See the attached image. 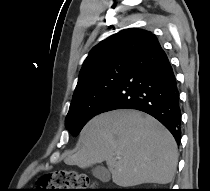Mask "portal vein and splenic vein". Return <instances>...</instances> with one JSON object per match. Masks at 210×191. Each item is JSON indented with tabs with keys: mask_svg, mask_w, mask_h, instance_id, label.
<instances>
[{
	"mask_svg": "<svg viewBox=\"0 0 210 191\" xmlns=\"http://www.w3.org/2000/svg\"><path fill=\"white\" fill-rule=\"evenodd\" d=\"M116 158H120L118 153L116 154Z\"/></svg>",
	"mask_w": 210,
	"mask_h": 191,
	"instance_id": "portal-vein-and-splenic-vein-1",
	"label": "portal vein and splenic vein"
}]
</instances>
